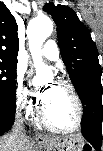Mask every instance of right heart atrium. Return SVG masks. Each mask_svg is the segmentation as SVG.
Here are the masks:
<instances>
[{
    "label": "right heart atrium",
    "instance_id": "d8ad5b80",
    "mask_svg": "<svg viewBox=\"0 0 103 151\" xmlns=\"http://www.w3.org/2000/svg\"><path fill=\"white\" fill-rule=\"evenodd\" d=\"M15 102L17 108L24 114L30 115L34 110V101L29 96L26 87L20 77L16 80Z\"/></svg>",
    "mask_w": 103,
    "mask_h": 151
}]
</instances>
